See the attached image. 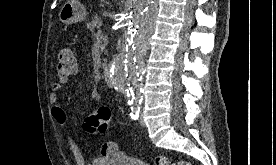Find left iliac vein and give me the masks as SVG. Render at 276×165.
I'll list each match as a JSON object with an SVG mask.
<instances>
[{
    "instance_id": "obj_1",
    "label": "left iliac vein",
    "mask_w": 276,
    "mask_h": 165,
    "mask_svg": "<svg viewBox=\"0 0 276 165\" xmlns=\"http://www.w3.org/2000/svg\"><path fill=\"white\" fill-rule=\"evenodd\" d=\"M138 121H139V124L141 125V126H145V121H144V118H143V115L140 113V115H139V119H138Z\"/></svg>"
}]
</instances>
